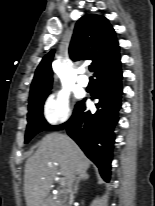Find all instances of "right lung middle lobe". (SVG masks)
<instances>
[{
    "instance_id": "dd1d6c3e",
    "label": "right lung middle lobe",
    "mask_w": 155,
    "mask_h": 206,
    "mask_svg": "<svg viewBox=\"0 0 155 206\" xmlns=\"http://www.w3.org/2000/svg\"><path fill=\"white\" fill-rule=\"evenodd\" d=\"M50 89L29 98L25 143H28L37 133L43 130H52L55 127L49 125L43 117V104L50 93Z\"/></svg>"
}]
</instances>
